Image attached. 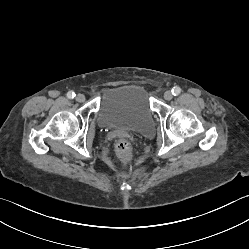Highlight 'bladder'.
I'll list each match as a JSON object with an SVG mask.
<instances>
[{
  "label": "bladder",
  "mask_w": 249,
  "mask_h": 249,
  "mask_svg": "<svg viewBox=\"0 0 249 249\" xmlns=\"http://www.w3.org/2000/svg\"><path fill=\"white\" fill-rule=\"evenodd\" d=\"M97 124L106 129L151 134L154 130V112L145 90L133 84L104 90L98 106Z\"/></svg>",
  "instance_id": "bladder-1"
}]
</instances>
